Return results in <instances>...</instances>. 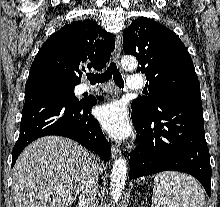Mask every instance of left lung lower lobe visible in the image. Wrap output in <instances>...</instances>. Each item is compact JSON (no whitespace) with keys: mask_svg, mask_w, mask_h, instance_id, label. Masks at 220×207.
I'll return each instance as SVG.
<instances>
[{"mask_svg":"<svg viewBox=\"0 0 220 207\" xmlns=\"http://www.w3.org/2000/svg\"><path fill=\"white\" fill-rule=\"evenodd\" d=\"M139 145L131 153V179L161 171L186 172L211 195V166L205 140L200 94L164 99L158 111L131 114Z\"/></svg>","mask_w":220,"mask_h":207,"instance_id":"0a47b994","label":"left lung lower lobe"}]
</instances>
